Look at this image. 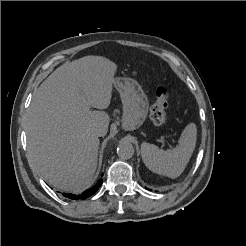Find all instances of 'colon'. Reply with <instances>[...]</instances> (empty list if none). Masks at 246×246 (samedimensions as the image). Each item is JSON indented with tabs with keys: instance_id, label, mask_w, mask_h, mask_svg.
<instances>
[{
	"instance_id": "colon-1",
	"label": "colon",
	"mask_w": 246,
	"mask_h": 246,
	"mask_svg": "<svg viewBox=\"0 0 246 246\" xmlns=\"http://www.w3.org/2000/svg\"><path fill=\"white\" fill-rule=\"evenodd\" d=\"M170 104V93L166 87H158L156 90V101L151 107L150 117L155 125H163L167 121L166 110Z\"/></svg>"
}]
</instances>
